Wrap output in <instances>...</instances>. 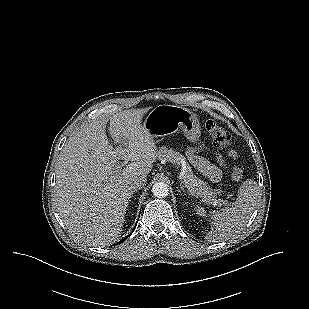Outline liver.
I'll use <instances>...</instances> for the list:
<instances>
[{
  "label": "liver",
  "instance_id": "obj_1",
  "mask_svg": "<svg viewBox=\"0 0 309 309\" xmlns=\"http://www.w3.org/2000/svg\"><path fill=\"white\" fill-rule=\"evenodd\" d=\"M146 111H126L110 119L108 129L115 146L108 141L105 121L93 120L63 147L55 171L54 201L78 241L105 247L119 239L134 192L128 181L147 176L158 157L154 138L140 124ZM119 160L131 163L117 171Z\"/></svg>",
  "mask_w": 309,
  "mask_h": 309
}]
</instances>
